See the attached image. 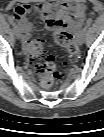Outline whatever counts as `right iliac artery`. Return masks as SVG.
Returning a JSON list of instances; mask_svg holds the SVG:
<instances>
[{
    "label": "right iliac artery",
    "instance_id": "1",
    "mask_svg": "<svg viewBox=\"0 0 104 137\" xmlns=\"http://www.w3.org/2000/svg\"><path fill=\"white\" fill-rule=\"evenodd\" d=\"M9 21H10V23L15 27L16 25H15V22H14V20H13V18L10 16L9 17Z\"/></svg>",
    "mask_w": 104,
    "mask_h": 137
}]
</instances>
